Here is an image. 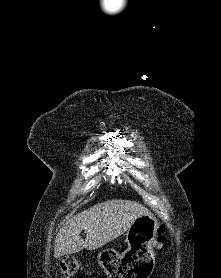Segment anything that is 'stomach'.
Segmentation results:
<instances>
[{
  "mask_svg": "<svg viewBox=\"0 0 221 278\" xmlns=\"http://www.w3.org/2000/svg\"><path fill=\"white\" fill-rule=\"evenodd\" d=\"M158 228L159 223L152 214L136 218L127 230L128 250L124 254L109 249L98 254V262L107 275L110 278H149L153 275V243Z\"/></svg>",
  "mask_w": 221,
  "mask_h": 278,
  "instance_id": "obj_1",
  "label": "stomach"
}]
</instances>
